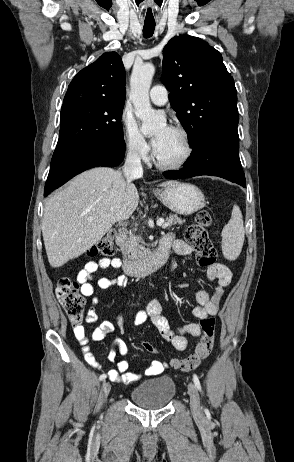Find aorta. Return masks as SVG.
Returning a JSON list of instances; mask_svg holds the SVG:
<instances>
[{
    "mask_svg": "<svg viewBox=\"0 0 294 462\" xmlns=\"http://www.w3.org/2000/svg\"><path fill=\"white\" fill-rule=\"evenodd\" d=\"M155 67L151 63L135 65L130 79V100L135 109V115L142 121L141 131L145 135L151 134L162 125L149 100V89Z\"/></svg>",
    "mask_w": 294,
    "mask_h": 462,
    "instance_id": "1",
    "label": "aorta"
}]
</instances>
